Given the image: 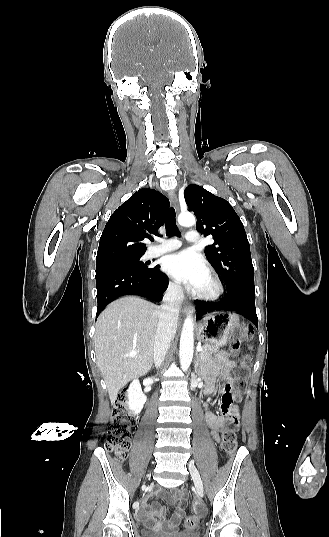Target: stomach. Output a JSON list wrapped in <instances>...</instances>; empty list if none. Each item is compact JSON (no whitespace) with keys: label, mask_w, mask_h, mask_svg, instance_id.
Segmentation results:
<instances>
[{"label":"stomach","mask_w":329,"mask_h":537,"mask_svg":"<svg viewBox=\"0 0 329 537\" xmlns=\"http://www.w3.org/2000/svg\"><path fill=\"white\" fill-rule=\"evenodd\" d=\"M239 316L233 313H215L205 318L199 328V336L205 343L216 346L226 345L231 336L242 332Z\"/></svg>","instance_id":"0dacf381"}]
</instances>
